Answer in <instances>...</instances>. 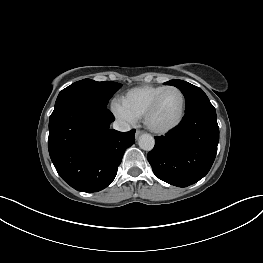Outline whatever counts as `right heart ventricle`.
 I'll return each instance as SVG.
<instances>
[{"mask_svg":"<svg viewBox=\"0 0 263 263\" xmlns=\"http://www.w3.org/2000/svg\"><path fill=\"white\" fill-rule=\"evenodd\" d=\"M165 87L145 85L132 88L122 96L120 103L135 118H141L154 97Z\"/></svg>","mask_w":263,"mask_h":263,"instance_id":"e07e8e85","label":"right heart ventricle"}]
</instances>
